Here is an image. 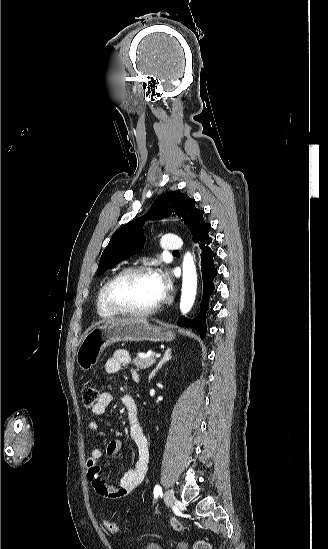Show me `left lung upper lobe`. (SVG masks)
<instances>
[{
    "label": "left lung upper lobe",
    "mask_w": 328,
    "mask_h": 549,
    "mask_svg": "<svg viewBox=\"0 0 328 549\" xmlns=\"http://www.w3.org/2000/svg\"><path fill=\"white\" fill-rule=\"evenodd\" d=\"M151 219H160L172 213L183 218L189 228L194 242L209 236L211 225L204 221V211L195 206V200L179 190L159 196L153 203ZM145 243L142 219L130 221L118 229L111 237L104 249L97 270L101 275L123 259L140 251Z\"/></svg>",
    "instance_id": "1"
}]
</instances>
